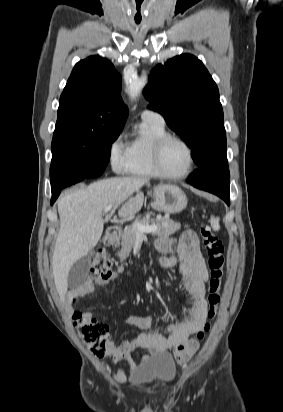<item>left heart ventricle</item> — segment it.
Segmentation results:
<instances>
[{"mask_svg":"<svg viewBox=\"0 0 283 412\" xmlns=\"http://www.w3.org/2000/svg\"><path fill=\"white\" fill-rule=\"evenodd\" d=\"M189 166V155L186 148L176 142H169L162 154V167L170 174H181Z\"/></svg>","mask_w":283,"mask_h":412,"instance_id":"1","label":"left heart ventricle"}]
</instances>
